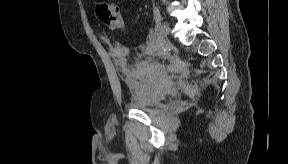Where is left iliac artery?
Masks as SVG:
<instances>
[{"mask_svg":"<svg viewBox=\"0 0 288 164\" xmlns=\"http://www.w3.org/2000/svg\"><path fill=\"white\" fill-rule=\"evenodd\" d=\"M154 19H155L156 24H155V29L153 31V37L155 39L156 38L155 34H156L158 28L161 26V20H162L161 15H160V11L158 8H154Z\"/></svg>","mask_w":288,"mask_h":164,"instance_id":"left-iliac-artery-1","label":"left iliac artery"}]
</instances>
